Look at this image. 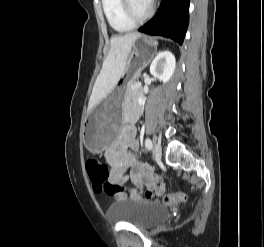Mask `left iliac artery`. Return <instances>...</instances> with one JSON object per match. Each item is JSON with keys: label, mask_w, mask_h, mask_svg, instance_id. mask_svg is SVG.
<instances>
[{"label": "left iliac artery", "mask_w": 264, "mask_h": 247, "mask_svg": "<svg viewBox=\"0 0 264 247\" xmlns=\"http://www.w3.org/2000/svg\"><path fill=\"white\" fill-rule=\"evenodd\" d=\"M145 146L148 150H150L152 148V141L150 138H146L145 139Z\"/></svg>", "instance_id": "44dca946"}]
</instances>
